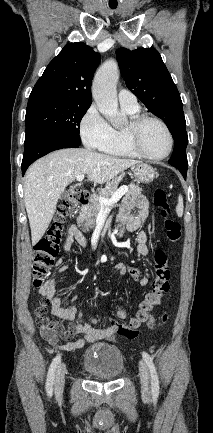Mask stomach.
I'll list each match as a JSON object with an SVG mask.
<instances>
[{"label":"stomach","mask_w":213,"mask_h":433,"mask_svg":"<svg viewBox=\"0 0 213 433\" xmlns=\"http://www.w3.org/2000/svg\"><path fill=\"white\" fill-rule=\"evenodd\" d=\"M135 177L143 183H150L154 180L156 171L153 167L147 164H138L132 167Z\"/></svg>","instance_id":"obj_1"}]
</instances>
